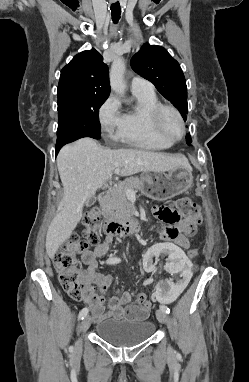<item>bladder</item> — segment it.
I'll return each mask as SVG.
<instances>
[{
    "label": "bladder",
    "instance_id": "1",
    "mask_svg": "<svg viewBox=\"0 0 249 382\" xmlns=\"http://www.w3.org/2000/svg\"><path fill=\"white\" fill-rule=\"evenodd\" d=\"M153 331L154 324L150 320L107 318L96 325L99 338L120 348L131 347L147 340Z\"/></svg>",
    "mask_w": 249,
    "mask_h": 382
}]
</instances>
